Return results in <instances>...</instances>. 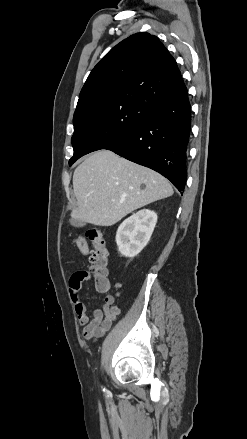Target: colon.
Wrapping results in <instances>:
<instances>
[{
	"label": "colon",
	"instance_id": "5ec220e1",
	"mask_svg": "<svg viewBox=\"0 0 247 439\" xmlns=\"http://www.w3.org/2000/svg\"><path fill=\"white\" fill-rule=\"evenodd\" d=\"M75 243L83 255L90 253L88 274L95 279L97 290L107 291L109 289L108 251L102 233L98 229H90L84 236L78 237Z\"/></svg>",
	"mask_w": 247,
	"mask_h": 439
}]
</instances>
